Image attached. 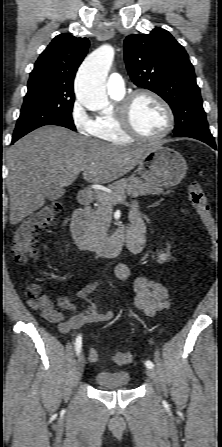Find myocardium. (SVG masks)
<instances>
[{"label": "myocardium", "mask_w": 222, "mask_h": 447, "mask_svg": "<svg viewBox=\"0 0 222 447\" xmlns=\"http://www.w3.org/2000/svg\"><path fill=\"white\" fill-rule=\"evenodd\" d=\"M148 96L152 99H154L164 110L167 118V123L163 131L156 135V136H147L141 134L133 125L131 112L132 107L135 102V100L139 96ZM117 120L119 127L121 128L122 132L126 134L128 137H130L133 140L141 141V142H156L164 139L167 135L171 133V131L174 128L175 125V117L172 108L167 103V101L160 96L158 93L154 92L153 90L141 88L137 89L135 91H132L125 96L122 97L120 100L118 109H117Z\"/></svg>", "instance_id": "1"}]
</instances>
